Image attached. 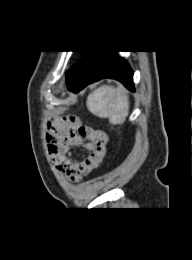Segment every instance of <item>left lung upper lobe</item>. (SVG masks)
Instances as JSON below:
<instances>
[{
  "mask_svg": "<svg viewBox=\"0 0 192 260\" xmlns=\"http://www.w3.org/2000/svg\"><path fill=\"white\" fill-rule=\"evenodd\" d=\"M94 57L89 58L87 63L79 62L74 65L68 72H67V84L68 88L75 92L79 82L81 81L85 71L87 70L90 62Z\"/></svg>",
  "mask_w": 192,
  "mask_h": 260,
  "instance_id": "5c2ea615",
  "label": "left lung upper lobe"
}]
</instances>
